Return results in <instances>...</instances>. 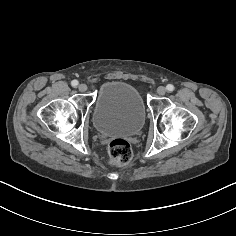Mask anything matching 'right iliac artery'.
Returning <instances> with one entry per match:
<instances>
[{"mask_svg":"<svg viewBox=\"0 0 236 236\" xmlns=\"http://www.w3.org/2000/svg\"><path fill=\"white\" fill-rule=\"evenodd\" d=\"M71 85H72L73 87H76V86L78 85V81H77V80H73V81L71 82Z\"/></svg>","mask_w":236,"mask_h":236,"instance_id":"right-iliac-artery-1","label":"right iliac artery"}]
</instances>
